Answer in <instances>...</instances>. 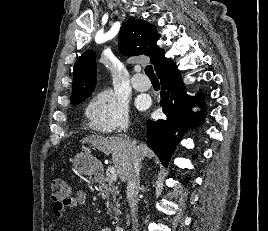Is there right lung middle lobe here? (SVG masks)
<instances>
[{
  "instance_id": "obj_1",
  "label": "right lung middle lobe",
  "mask_w": 268,
  "mask_h": 231,
  "mask_svg": "<svg viewBox=\"0 0 268 231\" xmlns=\"http://www.w3.org/2000/svg\"><path fill=\"white\" fill-rule=\"evenodd\" d=\"M83 100H81V101H77V102H74V103H72V104H74V105H76V104H78V103H80V102H82Z\"/></svg>"
}]
</instances>
